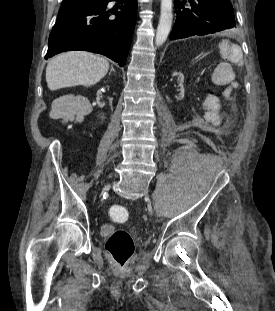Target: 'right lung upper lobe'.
Wrapping results in <instances>:
<instances>
[{
    "label": "right lung upper lobe",
    "instance_id": "1",
    "mask_svg": "<svg viewBox=\"0 0 275 311\" xmlns=\"http://www.w3.org/2000/svg\"><path fill=\"white\" fill-rule=\"evenodd\" d=\"M74 1V0H63V2Z\"/></svg>",
    "mask_w": 275,
    "mask_h": 311
}]
</instances>
